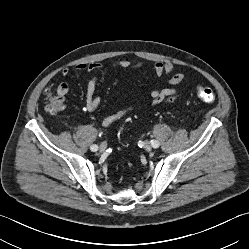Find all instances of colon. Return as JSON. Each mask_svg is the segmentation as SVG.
<instances>
[{"label":"colon","mask_w":249,"mask_h":249,"mask_svg":"<svg viewBox=\"0 0 249 249\" xmlns=\"http://www.w3.org/2000/svg\"><path fill=\"white\" fill-rule=\"evenodd\" d=\"M196 90H197L198 97L202 101L206 103L214 102L215 94L210 88L197 85ZM62 109H63L62 99L58 96L51 95L48 99V104L46 106L47 112H49L50 114H56L60 112Z\"/></svg>","instance_id":"obj_1"}]
</instances>
